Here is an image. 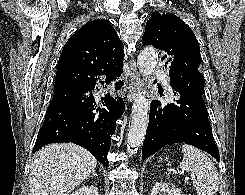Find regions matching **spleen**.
I'll list each match as a JSON object with an SVG mask.
<instances>
[{
  "mask_svg": "<svg viewBox=\"0 0 245 195\" xmlns=\"http://www.w3.org/2000/svg\"><path fill=\"white\" fill-rule=\"evenodd\" d=\"M183 160L179 167L190 171L197 178L196 192L198 195H213L220 185L219 175L212 160L194 146L182 145Z\"/></svg>",
  "mask_w": 245,
  "mask_h": 195,
  "instance_id": "1",
  "label": "spleen"
}]
</instances>
